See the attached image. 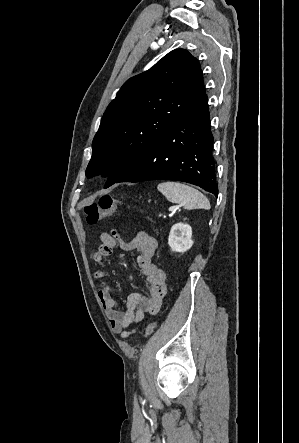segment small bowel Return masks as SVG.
I'll use <instances>...</instances> for the list:
<instances>
[{
  "label": "small bowel",
  "instance_id": "c3829d8e",
  "mask_svg": "<svg viewBox=\"0 0 299 443\" xmlns=\"http://www.w3.org/2000/svg\"><path fill=\"white\" fill-rule=\"evenodd\" d=\"M100 240L101 244L93 254L94 262L102 264L118 249L137 250L138 267L147 279L146 291L129 294L126 301L127 309L122 311L117 309V302L106 283L107 273L104 270L94 272V279L98 283V297L107 311L111 328L122 338H127L143 324L146 315H155L162 307L166 293V274L152 261L158 243L154 237L143 231L137 232L131 240L122 239L116 231L103 232ZM131 325L134 328L127 330Z\"/></svg>",
  "mask_w": 299,
  "mask_h": 443
}]
</instances>
